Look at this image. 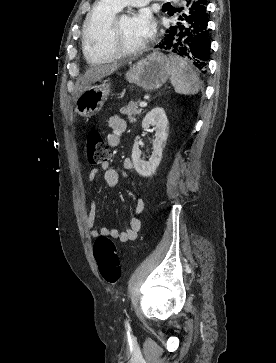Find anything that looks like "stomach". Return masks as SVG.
<instances>
[{"label": "stomach", "mask_w": 276, "mask_h": 363, "mask_svg": "<svg viewBox=\"0 0 276 363\" xmlns=\"http://www.w3.org/2000/svg\"><path fill=\"white\" fill-rule=\"evenodd\" d=\"M170 58L160 52H153L136 63L131 64L125 77L146 91L162 87L171 77ZM111 84L108 80L92 84L76 99L75 111L82 117H92L103 107L110 94Z\"/></svg>", "instance_id": "0dacf381"}]
</instances>
